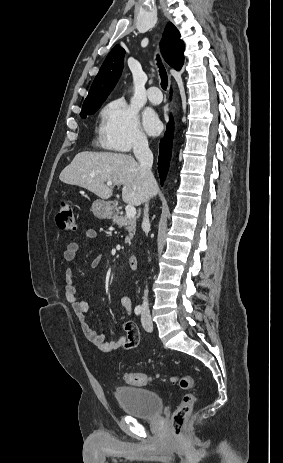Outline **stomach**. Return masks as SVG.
Returning <instances> with one entry per match:
<instances>
[{
	"label": "stomach",
	"instance_id": "stomach-1",
	"mask_svg": "<svg viewBox=\"0 0 283 463\" xmlns=\"http://www.w3.org/2000/svg\"><path fill=\"white\" fill-rule=\"evenodd\" d=\"M91 211L99 219H110L115 212V208L111 202L97 199L92 203Z\"/></svg>",
	"mask_w": 283,
	"mask_h": 463
}]
</instances>
